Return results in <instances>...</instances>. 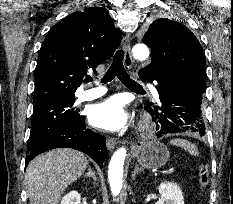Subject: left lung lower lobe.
<instances>
[{
    "label": "left lung lower lobe",
    "instance_id": "0a47b994",
    "mask_svg": "<svg viewBox=\"0 0 233 204\" xmlns=\"http://www.w3.org/2000/svg\"><path fill=\"white\" fill-rule=\"evenodd\" d=\"M142 81H157L159 104L147 103L145 110L156 125V135L180 132L205 134L201 103L205 87L187 76L175 65H160L150 75H139Z\"/></svg>",
    "mask_w": 233,
    "mask_h": 204
}]
</instances>
